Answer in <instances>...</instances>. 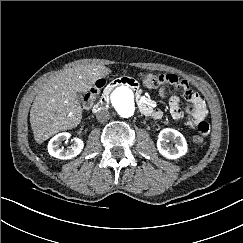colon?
<instances>
[{
    "label": "colon",
    "instance_id": "colon-1",
    "mask_svg": "<svg viewBox=\"0 0 243 243\" xmlns=\"http://www.w3.org/2000/svg\"><path fill=\"white\" fill-rule=\"evenodd\" d=\"M142 81L144 85L148 88H157L160 85L166 83L167 79L164 75H157L153 73H147L142 75ZM104 86V81L102 79L98 80L93 88L89 90V92L85 95V102L90 104L94 101L96 95L100 92V90ZM192 141L195 144H201L203 142V138L200 135H194L192 137Z\"/></svg>",
    "mask_w": 243,
    "mask_h": 243
}]
</instances>
